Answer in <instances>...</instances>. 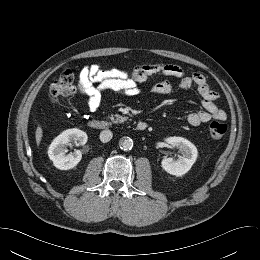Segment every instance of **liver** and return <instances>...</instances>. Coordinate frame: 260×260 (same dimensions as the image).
Instances as JSON below:
<instances>
[{
  "label": "liver",
  "instance_id": "obj_1",
  "mask_svg": "<svg viewBox=\"0 0 260 260\" xmlns=\"http://www.w3.org/2000/svg\"><path fill=\"white\" fill-rule=\"evenodd\" d=\"M42 136H43V130L41 128V126H38L35 132V139H36V143L37 145L40 144L41 140H42Z\"/></svg>",
  "mask_w": 260,
  "mask_h": 260
}]
</instances>
